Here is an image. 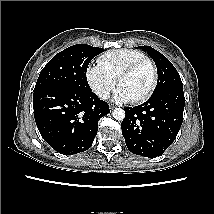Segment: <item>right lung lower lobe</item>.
<instances>
[{
  "mask_svg": "<svg viewBox=\"0 0 214 214\" xmlns=\"http://www.w3.org/2000/svg\"><path fill=\"white\" fill-rule=\"evenodd\" d=\"M34 118L43 139L57 152L72 155L89 149L98 121L110 113L92 91L49 86L33 94Z\"/></svg>",
  "mask_w": 214,
  "mask_h": 214,
  "instance_id": "obj_1",
  "label": "right lung lower lobe"
}]
</instances>
